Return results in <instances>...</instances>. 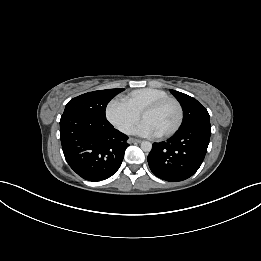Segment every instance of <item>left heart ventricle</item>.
I'll use <instances>...</instances> for the list:
<instances>
[{
    "mask_svg": "<svg viewBox=\"0 0 261 261\" xmlns=\"http://www.w3.org/2000/svg\"><path fill=\"white\" fill-rule=\"evenodd\" d=\"M178 119V110L173 103H167L160 108L146 113L143 120L151 123L161 134L170 130Z\"/></svg>",
    "mask_w": 261,
    "mask_h": 261,
    "instance_id": "b2bd125f",
    "label": "left heart ventricle"
}]
</instances>
